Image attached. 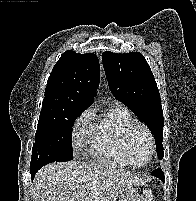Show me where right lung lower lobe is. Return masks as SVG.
<instances>
[{
  "instance_id": "right-lung-lower-lobe-1",
  "label": "right lung lower lobe",
  "mask_w": 196,
  "mask_h": 201,
  "mask_svg": "<svg viewBox=\"0 0 196 201\" xmlns=\"http://www.w3.org/2000/svg\"><path fill=\"white\" fill-rule=\"evenodd\" d=\"M37 171H38V170L30 169V174H31L32 180L34 179L35 174H36Z\"/></svg>"
}]
</instances>
